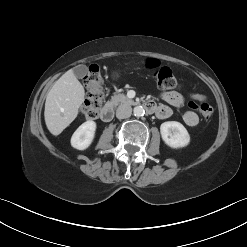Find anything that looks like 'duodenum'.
<instances>
[{"mask_svg": "<svg viewBox=\"0 0 247 247\" xmlns=\"http://www.w3.org/2000/svg\"><path fill=\"white\" fill-rule=\"evenodd\" d=\"M144 107L148 112H151V113L157 112V107L152 102H146L144 104ZM113 114H114L113 105L107 104L101 111V119L104 122H108L113 118Z\"/></svg>", "mask_w": 247, "mask_h": 247, "instance_id": "410a0bca", "label": "duodenum"}]
</instances>
